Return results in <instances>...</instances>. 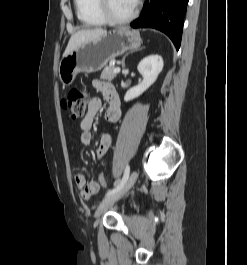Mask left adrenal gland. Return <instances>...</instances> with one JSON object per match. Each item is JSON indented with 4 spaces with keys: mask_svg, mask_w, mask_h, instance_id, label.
<instances>
[{
    "mask_svg": "<svg viewBox=\"0 0 247 265\" xmlns=\"http://www.w3.org/2000/svg\"><path fill=\"white\" fill-rule=\"evenodd\" d=\"M141 49H143V48H140V49H138V50H141ZM126 56H127V55H125V56L123 57V59H122V67H123V68H125V58H126Z\"/></svg>",
    "mask_w": 247,
    "mask_h": 265,
    "instance_id": "obj_1",
    "label": "left adrenal gland"
}]
</instances>
